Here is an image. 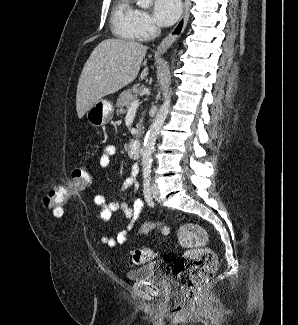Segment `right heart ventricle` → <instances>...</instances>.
<instances>
[{
	"label": "right heart ventricle",
	"instance_id": "obj_1",
	"mask_svg": "<svg viewBox=\"0 0 298 325\" xmlns=\"http://www.w3.org/2000/svg\"><path fill=\"white\" fill-rule=\"evenodd\" d=\"M138 17L137 7L128 0L117 2L111 13V29L114 37H124L128 41V32L136 25Z\"/></svg>",
	"mask_w": 298,
	"mask_h": 325
}]
</instances>
